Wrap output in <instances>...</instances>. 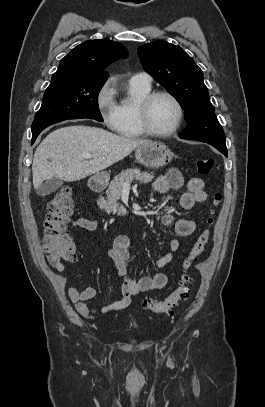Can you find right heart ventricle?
Returning a JSON list of instances; mask_svg holds the SVG:
<instances>
[{"label":"right heart ventricle","mask_w":265,"mask_h":407,"mask_svg":"<svg viewBox=\"0 0 265 407\" xmlns=\"http://www.w3.org/2000/svg\"><path fill=\"white\" fill-rule=\"evenodd\" d=\"M151 92V84L129 82L130 102H122L117 106V122L114 131L124 138H140L144 136L137 121V106Z\"/></svg>","instance_id":"e07e8e85"}]
</instances>
